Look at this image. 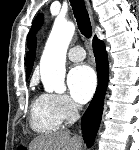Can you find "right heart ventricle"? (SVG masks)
Listing matches in <instances>:
<instances>
[{"mask_svg":"<svg viewBox=\"0 0 139 150\" xmlns=\"http://www.w3.org/2000/svg\"><path fill=\"white\" fill-rule=\"evenodd\" d=\"M62 121L50 94H39L34 97L30 110V125L34 131L38 133L56 131Z\"/></svg>","mask_w":139,"mask_h":150,"instance_id":"e07e8e85","label":"right heart ventricle"}]
</instances>
